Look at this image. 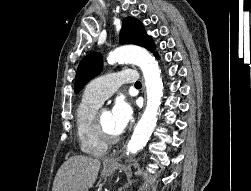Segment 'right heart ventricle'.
I'll return each mask as SVG.
<instances>
[{
	"label": "right heart ventricle",
	"instance_id": "right-heart-ventricle-1",
	"mask_svg": "<svg viewBox=\"0 0 251 191\" xmlns=\"http://www.w3.org/2000/svg\"><path fill=\"white\" fill-rule=\"evenodd\" d=\"M101 101L83 96L75 110V135L81 153L102 157L106 154L108 146L97 132L95 112Z\"/></svg>",
	"mask_w": 251,
	"mask_h": 191
}]
</instances>
